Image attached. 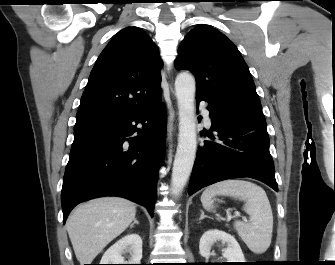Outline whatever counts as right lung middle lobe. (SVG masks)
Masks as SVG:
<instances>
[{
	"mask_svg": "<svg viewBox=\"0 0 335 265\" xmlns=\"http://www.w3.org/2000/svg\"><path fill=\"white\" fill-rule=\"evenodd\" d=\"M87 127H90V126H80V127H74V131H75V130H79V129H83V128H87Z\"/></svg>",
	"mask_w": 335,
	"mask_h": 265,
	"instance_id": "right-lung-middle-lobe-1",
	"label": "right lung middle lobe"
}]
</instances>
